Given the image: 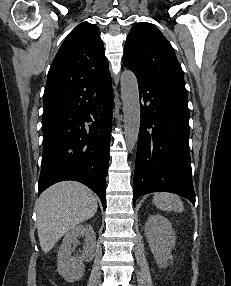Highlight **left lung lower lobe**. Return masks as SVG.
Here are the masks:
<instances>
[{
  "label": "left lung lower lobe",
  "instance_id": "1",
  "mask_svg": "<svg viewBox=\"0 0 231 286\" xmlns=\"http://www.w3.org/2000/svg\"><path fill=\"white\" fill-rule=\"evenodd\" d=\"M137 80L142 102L133 202L142 195L164 191L195 204L187 92Z\"/></svg>",
  "mask_w": 231,
  "mask_h": 286
}]
</instances>
